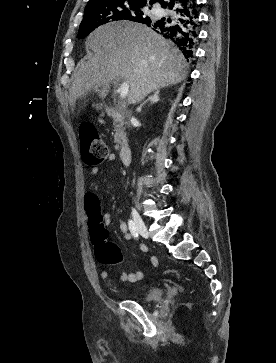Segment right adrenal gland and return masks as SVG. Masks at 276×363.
Instances as JSON below:
<instances>
[{"label": "right adrenal gland", "instance_id": "obj_1", "mask_svg": "<svg viewBox=\"0 0 276 363\" xmlns=\"http://www.w3.org/2000/svg\"><path fill=\"white\" fill-rule=\"evenodd\" d=\"M159 93L160 91L159 90H156L153 95H151L146 101H144L137 109L136 111L137 112H141L143 106L149 101L150 103H156L158 101H160V98H159Z\"/></svg>", "mask_w": 276, "mask_h": 363}]
</instances>
